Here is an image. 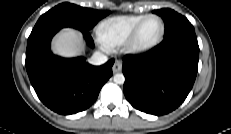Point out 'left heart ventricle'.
Returning <instances> with one entry per match:
<instances>
[{
  "instance_id": "b2bd125f",
  "label": "left heart ventricle",
  "mask_w": 231,
  "mask_h": 134,
  "mask_svg": "<svg viewBox=\"0 0 231 134\" xmlns=\"http://www.w3.org/2000/svg\"><path fill=\"white\" fill-rule=\"evenodd\" d=\"M160 31H161V23L158 19L152 18L148 20L141 30L139 36L140 44L151 43L158 37Z\"/></svg>"
}]
</instances>
